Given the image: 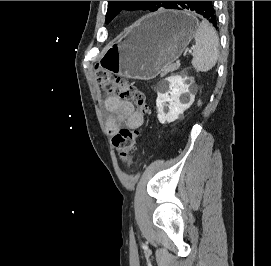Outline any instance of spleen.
Returning <instances> with one entry per match:
<instances>
[{
	"label": "spleen",
	"instance_id": "obj_1",
	"mask_svg": "<svg viewBox=\"0 0 271 266\" xmlns=\"http://www.w3.org/2000/svg\"><path fill=\"white\" fill-rule=\"evenodd\" d=\"M195 48L192 65L197 72L211 70L219 56V38L215 29L205 20L198 24L194 35Z\"/></svg>",
	"mask_w": 271,
	"mask_h": 266
}]
</instances>
